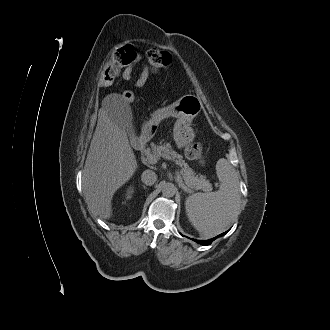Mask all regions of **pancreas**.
I'll list each match as a JSON object with an SVG mask.
<instances>
[{
	"label": "pancreas",
	"instance_id": "obj_1",
	"mask_svg": "<svg viewBox=\"0 0 330 330\" xmlns=\"http://www.w3.org/2000/svg\"><path fill=\"white\" fill-rule=\"evenodd\" d=\"M145 154H153L158 158L162 157L167 160H172L176 162L181 167V175L184 184L193 190H203V191H211L212 185L206 180V178L202 175L195 176L193 170L188 166L187 163L183 160V156L177 154L176 151L172 149L170 143H160V145H153L151 148H147L145 150Z\"/></svg>",
	"mask_w": 330,
	"mask_h": 330
}]
</instances>
